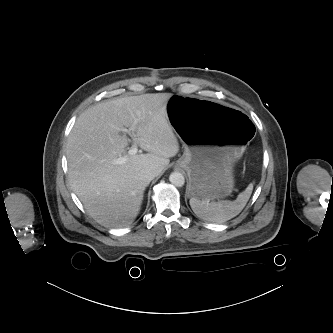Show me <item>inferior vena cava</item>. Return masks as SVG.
<instances>
[{"mask_svg": "<svg viewBox=\"0 0 333 333\" xmlns=\"http://www.w3.org/2000/svg\"><path fill=\"white\" fill-rule=\"evenodd\" d=\"M158 175V171L152 168H144L138 172V178L143 182H150Z\"/></svg>", "mask_w": 333, "mask_h": 333, "instance_id": "1", "label": "inferior vena cava"}]
</instances>
